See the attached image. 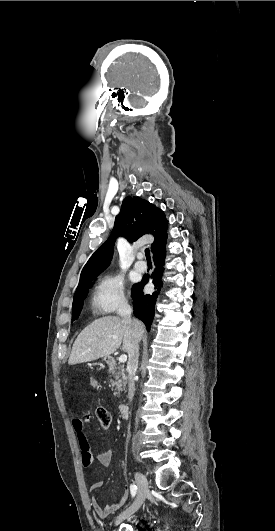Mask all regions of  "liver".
Wrapping results in <instances>:
<instances>
[{"instance_id":"1","label":"liver","mask_w":275,"mask_h":531,"mask_svg":"<svg viewBox=\"0 0 275 531\" xmlns=\"http://www.w3.org/2000/svg\"><path fill=\"white\" fill-rule=\"evenodd\" d=\"M132 323L133 327L119 317L96 319L78 335L72 347L69 365L109 357L119 349L122 341V349L124 353H128L134 341L133 331H136L137 341H140L144 333V325L141 321L133 319Z\"/></svg>"}]
</instances>
